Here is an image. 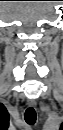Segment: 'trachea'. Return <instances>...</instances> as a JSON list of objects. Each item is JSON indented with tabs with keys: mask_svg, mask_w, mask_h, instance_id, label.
Here are the masks:
<instances>
[{
	"mask_svg": "<svg viewBox=\"0 0 63 130\" xmlns=\"http://www.w3.org/2000/svg\"><path fill=\"white\" fill-rule=\"evenodd\" d=\"M24 119L27 124L34 125L36 122V112L33 107H29L26 109L24 114Z\"/></svg>",
	"mask_w": 63,
	"mask_h": 130,
	"instance_id": "3493384b",
	"label": "trachea"
}]
</instances>
